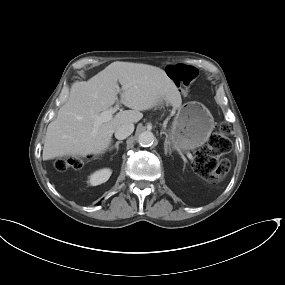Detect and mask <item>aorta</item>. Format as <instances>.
I'll list each match as a JSON object with an SVG mask.
<instances>
[{"mask_svg": "<svg viewBox=\"0 0 285 285\" xmlns=\"http://www.w3.org/2000/svg\"><path fill=\"white\" fill-rule=\"evenodd\" d=\"M156 138L150 131H144L138 136V143L142 147H150L154 144Z\"/></svg>", "mask_w": 285, "mask_h": 285, "instance_id": "762f6f07", "label": "aorta"}]
</instances>
